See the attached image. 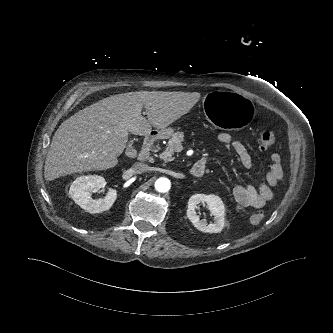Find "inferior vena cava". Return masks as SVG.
<instances>
[{
	"label": "inferior vena cava",
	"instance_id": "602c4592",
	"mask_svg": "<svg viewBox=\"0 0 333 333\" xmlns=\"http://www.w3.org/2000/svg\"><path fill=\"white\" fill-rule=\"evenodd\" d=\"M149 170V166L143 162H136L132 165V171L136 174H141L147 172Z\"/></svg>",
	"mask_w": 333,
	"mask_h": 333
}]
</instances>
